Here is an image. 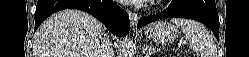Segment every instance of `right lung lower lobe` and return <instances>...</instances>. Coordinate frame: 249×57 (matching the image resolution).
<instances>
[{"label":"right lung lower lobe","instance_id":"98d812e1","mask_svg":"<svg viewBox=\"0 0 249 57\" xmlns=\"http://www.w3.org/2000/svg\"><path fill=\"white\" fill-rule=\"evenodd\" d=\"M67 8L88 12L101 21L114 35L125 36L130 30L127 12L111 0H38L34 31L48 16Z\"/></svg>","mask_w":249,"mask_h":57}]
</instances>
